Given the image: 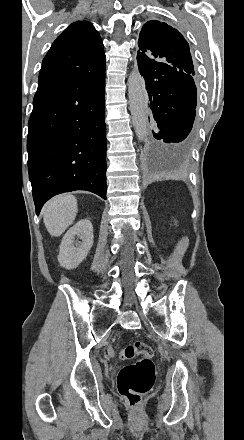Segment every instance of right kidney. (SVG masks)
<instances>
[{"instance_id": "ca27d5eb", "label": "right kidney", "mask_w": 244, "mask_h": 440, "mask_svg": "<svg viewBox=\"0 0 244 440\" xmlns=\"http://www.w3.org/2000/svg\"><path fill=\"white\" fill-rule=\"evenodd\" d=\"M78 236L82 242L75 244V238ZM93 226L88 220H80L75 226H72L68 232H66L61 244L60 252L58 256V262L62 268L72 270L77 268L81 264L82 260L87 258L92 246H93Z\"/></svg>"}]
</instances>
